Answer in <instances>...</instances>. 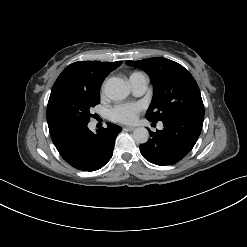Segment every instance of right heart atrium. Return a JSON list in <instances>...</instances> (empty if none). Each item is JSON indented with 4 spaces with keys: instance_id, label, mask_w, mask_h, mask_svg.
<instances>
[{
    "instance_id": "1",
    "label": "right heart atrium",
    "mask_w": 247,
    "mask_h": 247,
    "mask_svg": "<svg viewBox=\"0 0 247 247\" xmlns=\"http://www.w3.org/2000/svg\"><path fill=\"white\" fill-rule=\"evenodd\" d=\"M103 89H104V85L102 86V91H103Z\"/></svg>"
}]
</instances>
